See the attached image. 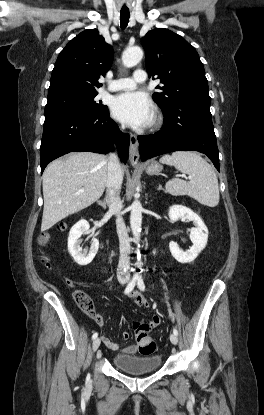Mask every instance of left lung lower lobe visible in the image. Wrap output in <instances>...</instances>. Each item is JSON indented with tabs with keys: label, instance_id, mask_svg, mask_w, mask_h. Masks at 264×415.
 I'll return each mask as SVG.
<instances>
[{
	"label": "left lung lower lobe",
	"instance_id": "1",
	"mask_svg": "<svg viewBox=\"0 0 264 415\" xmlns=\"http://www.w3.org/2000/svg\"><path fill=\"white\" fill-rule=\"evenodd\" d=\"M210 100L185 99L163 111L164 126L154 135L138 136L141 160L178 150L206 154L219 170Z\"/></svg>",
	"mask_w": 264,
	"mask_h": 415
}]
</instances>
